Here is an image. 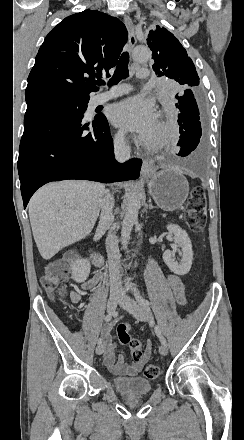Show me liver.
Here are the masks:
<instances>
[{"instance_id": "obj_1", "label": "liver", "mask_w": 244, "mask_h": 440, "mask_svg": "<svg viewBox=\"0 0 244 440\" xmlns=\"http://www.w3.org/2000/svg\"><path fill=\"white\" fill-rule=\"evenodd\" d=\"M105 194L104 184L81 180L50 182L35 192L28 204L29 218L44 260L92 232Z\"/></svg>"}]
</instances>
